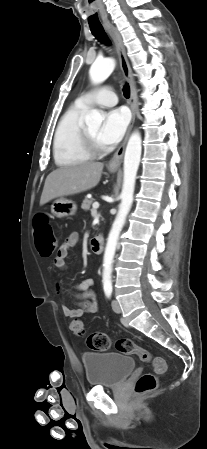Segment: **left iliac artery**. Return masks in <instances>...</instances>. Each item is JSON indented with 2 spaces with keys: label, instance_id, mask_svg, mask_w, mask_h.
<instances>
[{
  "label": "left iliac artery",
  "instance_id": "1",
  "mask_svg": "<svg viewBox=\"0 0 207 449\" xmlns=\"http://www.w3.org/2000/svg\"><path fill=\"white\" fill-rule=\"evenodd\" d=\"M104 292H105V295H106L108 298H110V297H111V294H112V286H111V285H105V286H104Z\"/></svg>",
  "mask_w": 207,
  "mask_h": 449
}]
</instances>
